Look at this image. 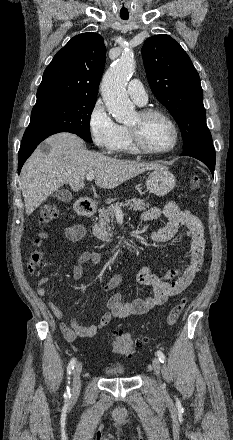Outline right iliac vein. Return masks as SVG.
I'll return each mask as SVG.
<instances>
[{"instance_id":"1","label":"right iliac vein","mask_w":233,"mask_h":440,"mask_svg":"<svg viewBox=\"0 0 233 440\" xmlns=\"http://www.w3.org/2000/svg\"><path fill=\"white\" fill-rule=\"evenodd\" d=\"M82 372V363H77L73 370L72 395L77 396L80 392V374Z\"/></svg>"}]
</instances>
